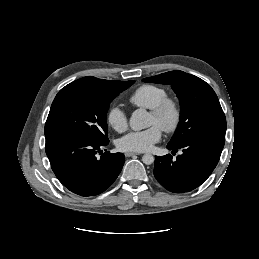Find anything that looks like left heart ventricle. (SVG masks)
Here are the masks:
<instances>
[{"label": "left heart ventricle", "instance_id": "obj_1", "mask_svg": "<svg viewBox=\"0 0 259 259\" xmlns=\"http://www.w3.org/2000/svg\"><path fill=\"white\" fill-rule=\"evenodd\" d=\"M149 125H160L159 121L152 114L149 115Z\"/></svg>", "mask_w": 259, "mask_h": 259}]
</instances>
